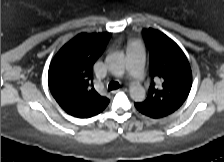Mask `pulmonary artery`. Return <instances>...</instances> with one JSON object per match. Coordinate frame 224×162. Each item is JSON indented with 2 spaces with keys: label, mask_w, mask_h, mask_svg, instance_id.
I'll use <instances>...</instances> for the list:
<instances>
[{
  "label": "pulmonary artery",
  "mask_w": 224,
  "mask_h": 162,
  "mask_svg": "<svg viewBox=\"0 0 224 162\" xmlns=\"http://www.w3.org/2000/svg\"><path fill=\"white\" fill-rule=\"evenodd\" d=\"M126 71L130 76L136 79H140L143 76L142 51L138 43H130L128 45Z\"/></svg>",
  "instance_id": "1"
}]
</instances>
